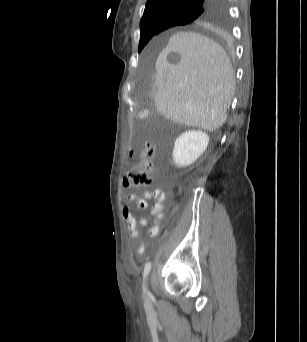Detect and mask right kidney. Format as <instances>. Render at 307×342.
<instances>
[{"mask_svg":"<svg viewBox=\"0 0 307 342\" xmlns=\"http://www.w3.org/2000/svg\"><path fill=\"white\" fill-rule=\"evenodd\" d=\"M209 140L208 134L201 130L183 132L177 138L173 148L172 156L176 168H187L196 162L197 158L207 150Z\"/></svg>","mask_w":307,"mask_h":342,"instance_id":"obj_1","label":"right kidney"}]
</instances>
